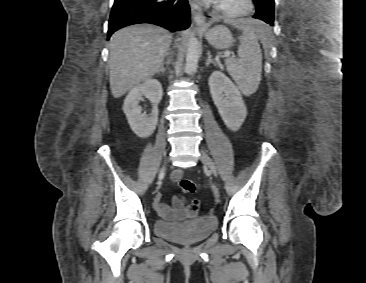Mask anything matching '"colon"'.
Listing matches in <instances>:
<instances>
[{
	"label": "colon",
	"instance_id": "colon-1",
	"mask_svg": "<svg viewBox=\"0 0 366 283\" xmlns=\"http://www.w3.org/2000/svg\"><path fill=\"white\" fill-rule=\"evenodd\" d=\"M180 190L184 194H193L196 191V184L190 179H182L179 183ZM198 202L193 201L189 207V214L193 215L196 213Z\"/></svg>",
	"mask_w": 366,
	"mask_h": 283
}]
</instances>
